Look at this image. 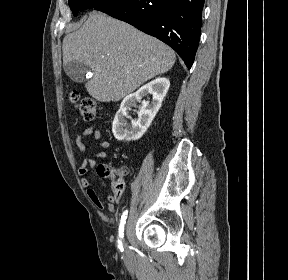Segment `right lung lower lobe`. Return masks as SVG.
I'll use <instances>...</instances> for the list:
<instances>
[{
  "label": "right lung lower lobe",
  "instance_id": "98d812e1",
  "mask_svg": "<svg viewBox=\"0 0 288 280\" xmlns=\"http://www.w3.org/2000/svg\"><path fill=\"white\" fill-rule=\"evenodd\" d=\"M204 0H114L95 7L172 47L190 69L198 48Z\"/></svg>",
  "mask_w": 288,
  "mask_h": 280
}]
</instances>
